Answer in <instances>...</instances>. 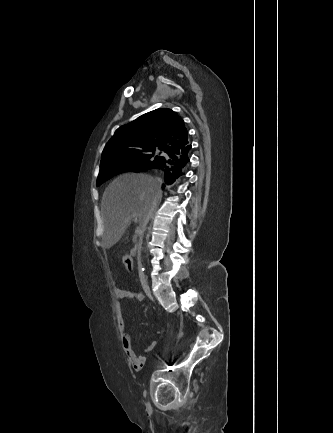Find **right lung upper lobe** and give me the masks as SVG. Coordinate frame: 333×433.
I'll use <instances>...</instances> for the list:
<instances>
[{"label": "right lung upper lobe", "instance_id": "right-lung-upper-lobe-1", "mask_svg": "<svg viewBox=\"0 0 333 433\" xmlns=\"http://www.w3.org/2000/svg\"><path fill=\"white\" fill-rule=\"evenodd\" d=\"M188 144V132L182 118L171 109L161 108L119 127L106 144L101 160L130 149L157 147L169 152Z\"/></svg>", "mask_w": 333, "mask_h": 433}]
</instances>
